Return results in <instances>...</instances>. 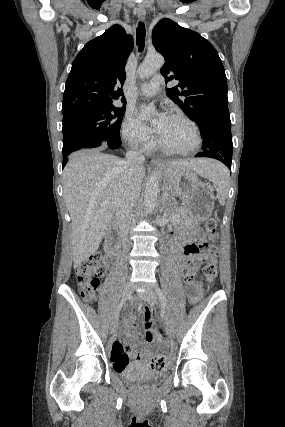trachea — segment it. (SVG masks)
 <instances>
[{"label": "trachea", "mask_w": 285, "mask_h": 427, "mask_svg": "<svg viewBox=\"0 0 285 427\" xmlns=\"http://www.w3.org/2000/svg\"><path fill=\"white\" fill-rule=\"evenodd\" d=\"M145 36H146L145 25L143 22H139V25L136 30V41H137L139 52H142L144 50Z\"/></svg>", "instance_id": "1"}]
</instances>
